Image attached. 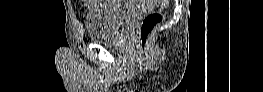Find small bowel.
<instances>
[{
    "instance_id": "c3829d8e",
    "label": "small bowel",
    "mask_w": 263,
    "mask_h": 92,
    "mask_svg": "<svg viewBox=\"0 0 263 92\" xmlns=\"http://www.w3.org/2000/svg\"><path fill=\"white\" fill-rule=\"evenodd\" d=\"M149 3H157V1H151V2H149ZM133 4H135V3H133Z\"/></svg>"
}]
</instances>
